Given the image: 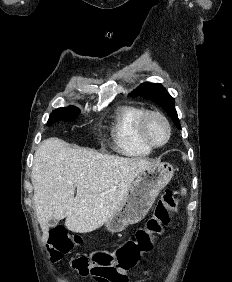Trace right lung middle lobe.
<instances>
[{
    "instance_id": "obj_1",
    "label": "right lung middle lobe",
    "mask_w": 232,
    "mask_h": 282,
    "mask_svg": "<svg viewBox=\"0 0 232 282\" xmlns=\"http://www.w3.org/2000/svg\"><path fill=\"white\" fill-rule=\"evenodd\" d=\"M79 113L80 110L75 106L53 110L48 120L47 126L57 122H71L78 117Z\"/></svg>"
}]
</instances>
